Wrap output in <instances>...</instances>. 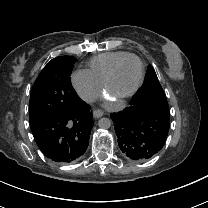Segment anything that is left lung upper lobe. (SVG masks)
Masks as SVG:
<instances>
[{
  "label": "left lung upper lobe",
  "mask_w": 208,
  "mask_h": 208,
  "mask_svg": "<svg viewBox=\"0 0 208 208\" xmlns=\"http://www.w3.org/2000/svg\"><path fill=\"white\" fill-rule=\"evenodd\" d=\"M130 105L153 108L169 114L166 95L152 66L148 69L145 86L132 97Z\"/></svg>",
  "instance_id": "left-lung-upper-lobe-1"
}]
</instances>
